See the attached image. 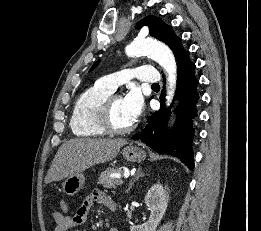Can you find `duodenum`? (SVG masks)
Listing matches in <instances>:
<instances>
[{"label": "duodenum", "instance_id": "obj_1", "mask_svg": "<svg viewBox=\"0 0 261 231\" xmlns=\"http://www.w3.org/2000/svg\"><path fill=\"white\" fill-rule=\"evenodd\" d=\"M115 207V204H111L110 208H114Z\"/></svg>", "mask_w": 261, "mask_h": 231}]
</instances>
